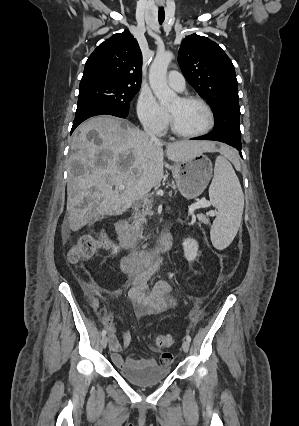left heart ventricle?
<instances>
[{"instance_id": "1", "label": "left heart ventricle", "mask_w": 299, "mask_h": 426, "mask_svg": "<svg viewBox=\"0 0 299 426\" xmlns=\"http://www.w3.org/2000/svg\"><path fill=\"white\" fill-rule=\"evenodd\" d=\"M177 127L184 132H198L204 129L208 122L205 109L197 102H182L175 99L168 107Z\"/></svg>"}]
</instances>
